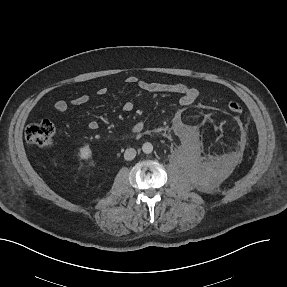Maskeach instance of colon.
<instances>
[{"mask_svg": "<svg viewBox=\"0 0 287 287\" xmlns=\"http://www.w3.org/2000/svg\"><path fill=\"white\" fill-rule=\"evenodd\" d=\"M228 108L233 113H241L243 110L242 104L237 100H231L228 103ZM55 131L56 129L52 122L43 120L29 125L25 132V138L29 143L39 148H48L53 143Z\"/></svg>", "mask_w": 287, "mask_h": 287, "instance_id": "obj_1", "label": "colon"}]
</instances>
